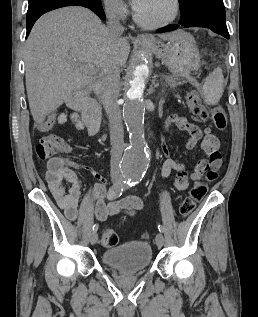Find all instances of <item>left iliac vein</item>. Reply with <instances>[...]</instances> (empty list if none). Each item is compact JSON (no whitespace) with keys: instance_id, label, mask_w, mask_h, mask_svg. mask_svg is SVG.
<instances>
[{"instance_id":"left-iliac-vein-1","label":"left iliac vein","mask_w":258,"mask_h":317,"mask_svg":"<svg viewBox=\"0 0 258 317\" xmlns=\"http://www.w3.org/2000/svg\"><path fill=\"white\" fill-rule=\"evenodd\" d=\"M117 181H118V183L121 184V183H123L124 180H123V178L120 177V178H118ZM155 238H156V240H157V243H156L157 246H158V247H163L165 243H164V237H163V235H162V232H157V235H156Z\"/></svg>"}]
</instances>
